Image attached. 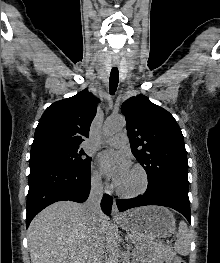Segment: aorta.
<instances>
[{"label": "aorta", "mask_w": 220, "mask_h": 263, "mask_svg": "<svg viewBox=\"0 0 220 263\" xmlns=\"http://www.w3.org/2000/svg\"><path fill=\"white\" fill-rule=\"evenodd\" d=\"M126 125L124 117H110L105 123V131L108 133L122 130ZM109 257L112 263L118 262L119 257V244L114 234L108 240Z\"/></svg>", "instance_id": "1"}]
</instances>
